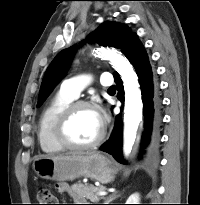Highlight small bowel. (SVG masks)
I'll return each mask as SVG.
<instances>
[{"instance_id": "1", "label": "small bowel", "mask_w": 200, "mask_h": 205, "mask_svg": "<svg viewBox=\"0 0 200 205\" xmlns=\"http://www.w3.org/2000/svg\"><path fill=\"white\" fill-rule=\"evenodd\" d=\"M57 190L61 194H68L70 192V187L66 183H60L57 185Z\"/></svg>"}]
</instances>
